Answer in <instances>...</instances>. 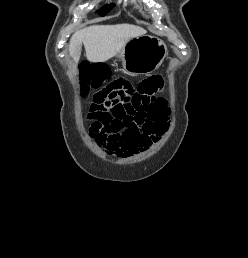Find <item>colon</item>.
<instances>
[{
	"label": "colon",
	"instance_id": "5ec220e1",
	"mask_svg": "<svg viewBox=\"0 0 248 258\" xmlns=\"http://www.w3.org/2000/svg\"><path fill=\"white\" fill-rule=\"evenodd\" d=\"M84 89L98 88L105 81L104 68L99 64L86 62L82 66ZM91 120V131L112 133L122 129L130 121V113L120 111L119 103L112 96L94 95L93 102L88 108Z\"/></svg>",
	"mask_w": 248,
	"mask_h": 258
}]
</instances>
